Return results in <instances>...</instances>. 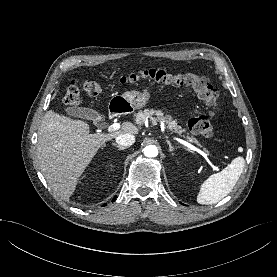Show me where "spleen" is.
<instances>
[{
	"label": "spleen",
	"mask_w": 277,
	"mask_h": 277,
	"mask_svg": "<svg viewBox=\"0 0 277 277\" xmlns=\"http://www.w3.org/2000/svg\"><path fill=\"white\" fill-rule=\"evenodd\" d=\"M245 166L244 158H235L221 172L211 175L201 185L197 195L199 204L210 205L219 202L234 188Z\"/></svg>",
	"instance_id": "3e777b00"
}]
</instances>
